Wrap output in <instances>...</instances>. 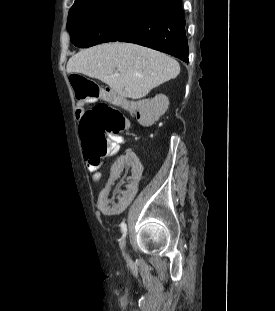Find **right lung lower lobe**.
<instances>
[{
	"instance_id": "obj_1",
	"label": "right lung lower lobe",
	"mask_w": 275,
	"mask_h": 311,
	"mask_svg": "<svg viewBox=\"0 0 275 311\" xmlns=\"http://www.w3.org/2000/svg\"><path fill=\"white\" fill-rule=\"evenodd\" d=\"M116 41L153 48L188 63V41L181 1L160 4L132 24Z\"/></svg>"
}]
</instances>
